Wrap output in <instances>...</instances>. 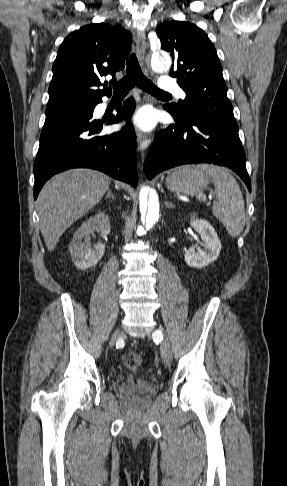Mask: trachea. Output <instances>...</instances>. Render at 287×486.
I'll return each instance as SVG.
<instances>
[{
  "label": "trachea",
  "instance_id": "obj_1",
  "mask_svg": "<svg viewBox=\"0 0 287 486\" xmlns=\"http://www.w3.org/2000/svg\"><path fill=\"white\" fill-rule=\"evenodd\" d=\"M135 85L154 96H171L158 89L147 77L144 76L136 55L132 54L127 60L126 75L113 87L114 95H125Z\"/></svg>",
  "mask_w": 287,
  "mask_h": 486
}]
</instances>
